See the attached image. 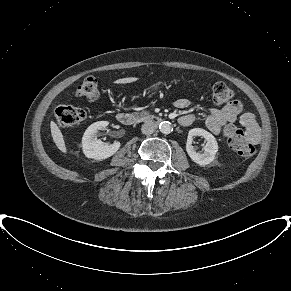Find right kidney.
I'll list each match as a JSON object with an SVG mask.
<instances>
[{"mask_svg":"<svg viewBox=\"0 0 291 291\" xmlns=\"http://www.w3.org/2000/svg\"><path fill=\"white\" fill-rule=\"evenodd\" d=\"M107 125V121H98L91 124L85 131L82 138V149L87 158L103 160L111 157L119 150L120 142L107 145L97 139L98 130L104 129Z\"/></svg>","mask_w":291,"mask_h":291,"instance_id":"ca27d5eb","label":"right kidney"}]
</instances>
